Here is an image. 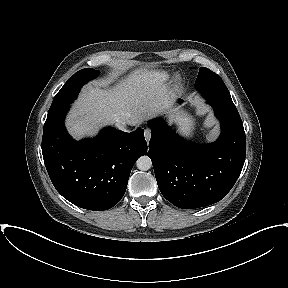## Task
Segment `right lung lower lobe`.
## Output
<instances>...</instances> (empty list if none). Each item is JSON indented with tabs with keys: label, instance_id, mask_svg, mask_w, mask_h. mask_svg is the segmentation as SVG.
Returning a JSON list of instances; mask_svg holds the SVG:
<instances>
[{
	"label": "right lung lower lobe",
	"instance_id": "1",
	"mask_svg": "<svg viewBox=\"0 0 288 288\" xmlns=\"http://www.w3.org/2000/svg\"><path fill=\"white\" fill-rule=\"evenodd\" d=\"M65 106L47 116L42 154L56 190L74 205L107 210L123 197L136 159L147 154L144 130L126 133L112 127L99 136L73 140L65 126Z\"/></svg>",
	"mask_w": 288,
	"mask_h": 288
}]
</instances>
